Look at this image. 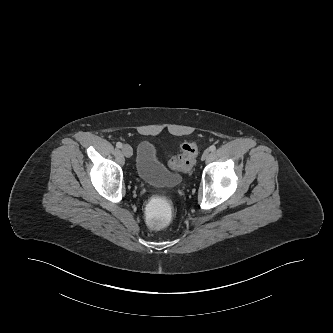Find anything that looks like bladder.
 <instances>
[{
  "mask_svg": "<svg viewBox=\"0 0 333 333\" xmlns=\"http://www.w3.org/2000/svg\"><path fill=\"white\" fill-rule=\"evenodd\" d=\"M136 172L138 177L149 184L178 186L181 176L169 170L156 154L155 146L150 141H142L137 149Z\"/></svg>",
  "mask_w": 333,
  "mask_h": 333,
  "instance_id": "31cf9c89",
  "label": "bladder"
}]
</instances>
